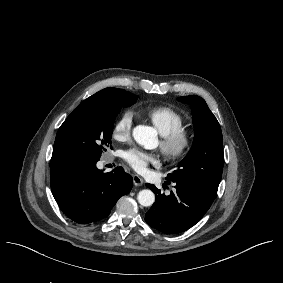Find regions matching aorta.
Returning <instances> with one entry per match:
<instances>
[{"label":"aorta","instance_id":"762f6f07","mask_svg":"<svg viewBox=\"0 0 283 283\" xmlns=\"http://www.w3.org/2000/svg\"><path fill=\"white\" fill-rule=\"evenodd\" d=\"M135 141L146 149H153L158 144L157 131L149 126L138 125L133 129ZM138 202L144 207H149L155 202V195L149 189L141 190L137 196Z\"/></svg>","mask_w":283,"mask_h":283}]
</instances>
